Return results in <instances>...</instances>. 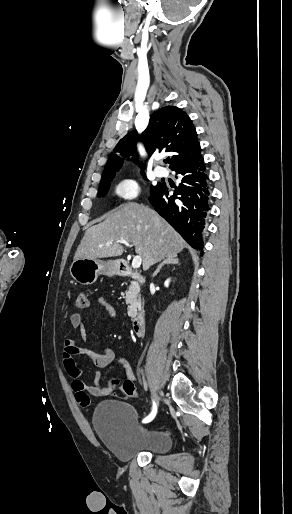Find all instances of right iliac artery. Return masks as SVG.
Masks as SVG:
<instances>
[{"label":"right iliac artery","mask_w":292,"mask_h":514,"mask_svg":"<svg viewBox=\"0 0 292 514\" xmlns=\"http://www.w3.org/2000/svg\"><path fill=\"white\" fill-rule=\"evenodd\" d=\"M156 413H157V405L155 403V401H153V408H152V411L151 413L143 419V423H148L150 421H152L154 419V417L156 416Z\"/></svg>","instance_id":"right-iliac-artery-1"}]
</instances>
